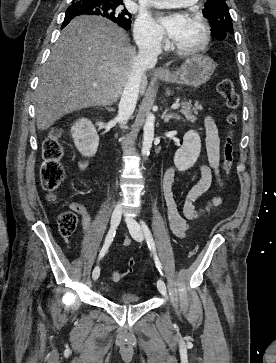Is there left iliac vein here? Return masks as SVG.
Listing matches in <instances>:
<instances>
[{
    "label": "left iliac vein",
    "mask_w": 276,
    "mask_h": 363,
    "mask_svg": "<svg viewBox=\"0 0 276 363\" xmlns=\"http://www.w3.org/2000/svg\"><path fill=\"white\" fill-rule=\"evenodd\" d=\"M126 222L130 231L131 236L138 242L144 240V233L140 224L131 216L126 217ZM157 288L162 295H166V284L162 279H158Z\"/></svg>",
    "instance_id": "1"
}]
</instances>
